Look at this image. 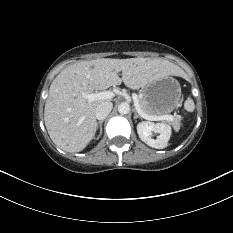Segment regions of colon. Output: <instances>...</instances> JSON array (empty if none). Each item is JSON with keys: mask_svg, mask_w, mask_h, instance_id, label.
Wrapping results in <instances>:
<instances>
[{"mask_svg": "<svg viewBox=\"0 0 233 233\" xmlns=\"http://www.w3.org/2000/svg\"><path fill=\"white\" fill-rule=\"evenodd\" d=\"M181 111H182V113H183L184 115L186 114V111H185L184 107L181 108Z\"/></svg>", "mask_w": 233, "mask_h": 233, "instance_id": "obj_1", "label": "colon"}]
</instances>
